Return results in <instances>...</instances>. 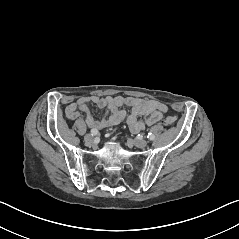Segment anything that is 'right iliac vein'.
<instances>
[{
  "instance_id": "right-iliac-vein-1",
  "label": "right iliac vein",
  "mask_w": 239,
  "mask_h": 239,
  "mask_svg": "<svg viewBox=\"0 0 239 239\" xmlns=\"http://www.w3.org/2000/svg\"><path fill=\"white\" fill-rule=\"evenodd\" d=\"M84 141L87 145H91L94 141V138L90 134H87L84 137Z\"/></svg>"
}]
</instances>
